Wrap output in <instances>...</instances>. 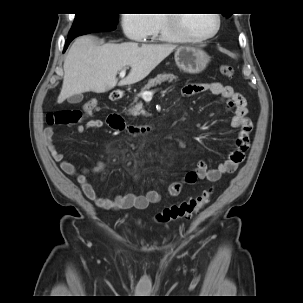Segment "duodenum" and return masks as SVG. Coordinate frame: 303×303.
<instances>
[{
    "label": "duodenum",
    "mask_w": 303,
    "mask_h": 303,
    "mask_svg": "<svg viewBox=\"0 0 303 303\" xmlns=\"http://www.w3.org/2000/svg\"><path fill=\"white\" fill-rule=\"evenodd\" d=\"M120 99H122V94L120 92H113L111 94L112 101H118ZM110 116L114 120V123L118 130H122V131L126 130L129 133H131L134 137H143L149 135L156 129L155 125L139 126V125L125 124L122 116L118 113H114Z\"/></svg>",
    "instance_id": "1"
}]
</instances>
